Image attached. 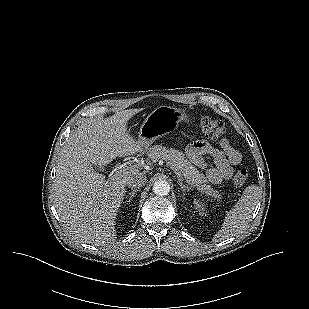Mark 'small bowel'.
Returning <instances> with one entry per match:
<instances>
[{"mask_svg":"<svg viewBox=\"0 0 309 309\" xmlns=\"http://www.w3.org/2000/svg\"><path fill=\"white\" fill-rule=\"evenodd\" d=\"M219 146L218 149L207 142L196 141L187 149L188 154L194 160L203 154H208L213 158L215 166L206 169L207 177L213 184H219L223 180L231 178L233 166L240 164L242 160L240 151L234 148L227 139H222Z\"/></svg>","mask_w":309,"mask_h":309,"instance_id":"obj_1","label":"small bowel"}]
</instances>
